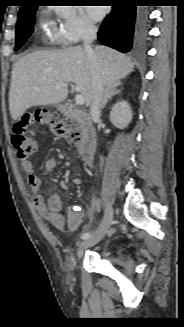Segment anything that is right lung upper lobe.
<instances>
[{
    "label": "right lung upper lobe",
    "instance_id": "obj_1",
    "mask_svg": "<svg viewBox=\"0 0 184 327\" xmlns=\"http://www.w3.org/2000/svg\"><path fill=\"white\" fill-rule=\"evenodd\" d=\"M22 3H24V4L21 6L20 11H24L26 9L36 7L35 5L31 4V3H33V0H22Z\"/></svg>",
    "mask_w": 184,
    "mask_h": 327
}]
</instances>
